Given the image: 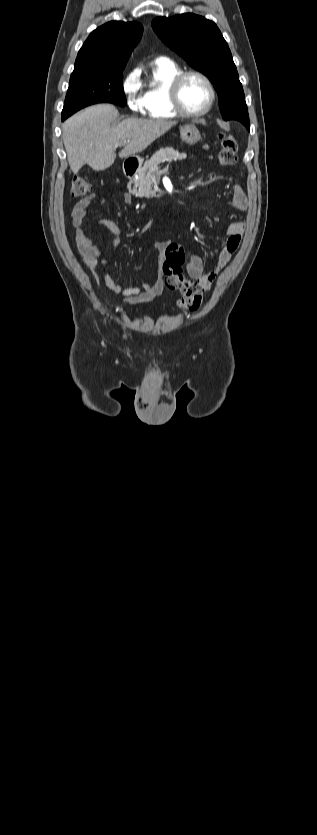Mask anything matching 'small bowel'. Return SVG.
<instances>
[{"mask_svg":"<svg viewBox=\"0 0 317 835\" xmlns=\"http://www.w3.org/2000/svg\"><path fill=\"white\" fill-rule=\"evenodd\" d=\"M96 199L97 197L94 193L88 194L80 199L72 210L74 241L85 265L92 272H96L99 268H104L108 262L102 246L88 236L84 225L87 209ZM123 200L127 204L132 202L129 194H124ZM99 202L104 203L105 199L100 198ZM230 205L238 211H245L248 206L247 197L242 187L237 183L233 186ZM94 224L104 227L113 235L111 251H114L121 243V230L119 226L114 221L106 218L98 219ZM243 230V224L240 222H233L228 225L225 231L224 244L219 252L218 265L214 271L204 273V262L199 255L194 254L189 258L186 265V273L191 279L197 281L203 290H209L211 288L219 272L230 262L233 254L240 245ZM155 249L159 255L160 266L167 258L180 260L182 264L185 261L184 248L180 244L173 243L170 240L158 242L155 245ZM160 266L154 280L141 286L124 287L116 283L108 272H105L102 276L103 283L115 294L123 296L124 304L135 305L146 301L151 296L162 293L164 283Z\"/></svg>","mask_w":317,"mask_h":835,"instance_id":"1","label":"small bowel"}]
</instances>
